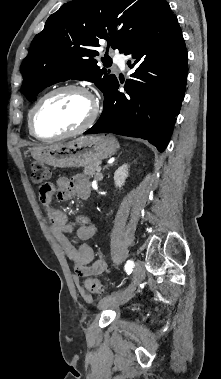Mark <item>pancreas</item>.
Instances as JSON below:
<instances>
[{"label":"pancreas","instance_id":"obj_1","mask_svg":"<svg viewBox=\"0 0 221 379\" xmlns=\"http://www.w3.org/2000/svg\"><path fill=\"white\" fill-rule=\"evenodd\" d=\"M98 168L99 163L86 165L84 167V174L88 176H94L96 172H99Z\"/></svg>","mask_w":221,"mask_h":379}]
</instances>
